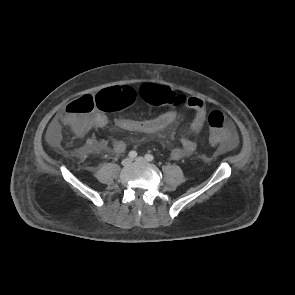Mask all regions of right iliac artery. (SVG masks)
<instances>
[{
    "mask_svg": "<svg viewBox=\"0 0 295 295\" xmlns=\"http://www.w3.org/2000/svg\"><path fill=\"white\" fill-rule=\"evenodd\" d=\"M136 156H137V152H136V151H130V152H129V157H130L131 159L136 158Z\"/></svg>",
    "mask_w": 295,
    "mask_h": 295,
    "instance_id": "obj_1",
    "label": "right iliac artery"
}]
</instances>
